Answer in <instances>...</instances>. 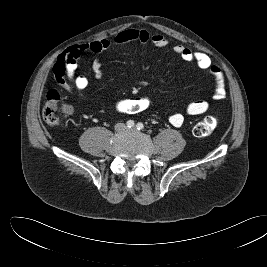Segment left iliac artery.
Returning a JSON list of instances; mask_svg holds the SVG:
<instances>
[{"label":"left iliac artery","mask_w":267,"mask_h":267,"mask_svg":"<svg viewBox=\"0 0 267 267\" xmlns=\"http://www.w3.org/2000/svg\"><path fill=\"white\" fill-rule=\"evenodd\" d=\"M136 127H137L138 130L144 129V125L142 123H140V122L137 123Z\"/></svg>","instance_id":"44dca946"}]
</instances>
